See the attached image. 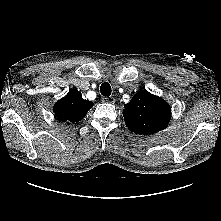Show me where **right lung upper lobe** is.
I'll list each match as a JSON object with an SVG mask.
<instances>
[{
    "instance_id": "obj_1",
    "label": "right lung upper lobe",
    "mask_w": 221,
    "mask_h": 221,
    "mask_svg": "<svg viewBox=\"0 0 221 221\" xmlns=\"http://www.w3.org/2000/svg\"><path fill=\"white\" fill-rule=\"evenodd\" d=\"M93 107V103L83 99L79 91L71 89L54 106L55 117L67 124L80 121Z\"/></svg>"
}]
</instances>
